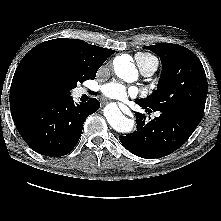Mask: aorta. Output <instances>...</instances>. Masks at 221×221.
<instances>
[{"label": "aorta", "mask_w": 221, "mask_h": 221, "mask_svg": "<svg viewBox=\"0 0 221 221\" xmlns=\"http://www.w3.org/2000/svg\"><path fill=\"white\" fill-rule=\"evenodd\" d=\"M115 73L126 82H133L137 78V70L132 61L125 57H119L114 62ZM104 115L113 129L121 133H129L134 128V121L126 118L116 104L108 105Z\"/></svg>", "instance_id": "1"}]
</instances>
